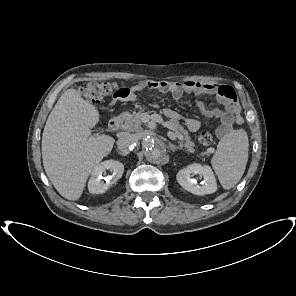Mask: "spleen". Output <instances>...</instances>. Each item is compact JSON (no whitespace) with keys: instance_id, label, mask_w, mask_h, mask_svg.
<instances>
[{"instance_id":"3e777b00","label":"spleen","mask_w":296,"mask_h":296,"mask_svg":"<svg viewBox=\"0 0 296 296\" xmlns=\"http://www.w3.org/2000/svg\"><path fill=\"white\" fill-rule=\"evenodd\" d=\"M248 150V136L244 129H231L220 139L211 164L224 189L233 188L242 178Z\"/></svg>"}]
</instances>
